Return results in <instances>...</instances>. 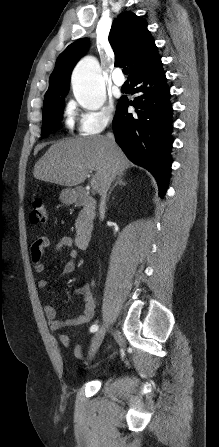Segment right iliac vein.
I'll return each instance as SVG.
<instances>
[{"label": "right iliac vein", "mask_w": 219, "mask_h": 447, "mask_svg": "<svg viewBox=\"0 0 219 447\" xmlns=\"http://www.w3.org/2000/svg\"><path fill=\"white\" fill-rule=\"evenodd\" d=\"M106 332V326L103 325L92 337L91 344L88 351V360H91L96 351L98 350L99 346L101 345L103 338L105 336Z\"/></svg>", "instance_id": "1"}]
</instances>
